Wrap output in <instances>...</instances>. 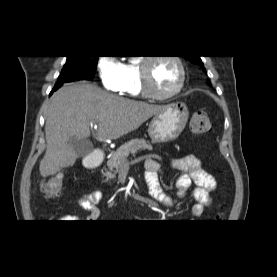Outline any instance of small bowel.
<instances>
[{"instance_id":"obj_1","label":"small bowel","mask_w":277,"mask_h":277,"mask_svg":"<svg viewBox=\"0 0 277 277\" xmlns=\"http://www.w3.org/2000/svg\"><path fill=\"white\" fill-rule=\"evenodd\" d=\"M172 168L180 171L182 174L176 180V196L171 197L166 194L159 183L158 171L159 162L154 158H148L145 162V182L151 197L157 202L167 206H174L177 201L183 199L192 184L195 187L192 190L195 204L191 207V215L198 218L203 214L204 209L212 202L211 193L217 188L216 179L203 168L201 161L194 155H185L171 160ZM103 193L94 190L75 197L74 202L82 209L89 212L88 220H97L100 216L98 204L103 200ZM73 219L70 215L61 217V220ZM66 222V221H64Z\"/></svg>"}]
</instances>
